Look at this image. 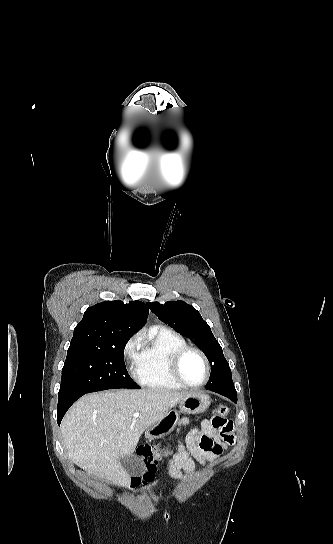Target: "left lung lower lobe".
Returning a JSON list of instances; mask_svg holds the SVG:
<instances>
[{"label":"left lung lower lobe","mask_w":333,"mask_h":544,"mask_svg":"<svg viewBox=\"0 0 333 544\" xmlns=\"http://www.w3.org/2000/svg\"><path fill=\"white\" fill-rule=\"evenodd\" d=\"M213 392L221 394V395L229 398L230 400H232L235 403L237 402V393L234 392V391L227 392V391H221V390H214Z\"/></svg>","instance_id":"left-lung-lower-lobe-1"}]
</instances>
